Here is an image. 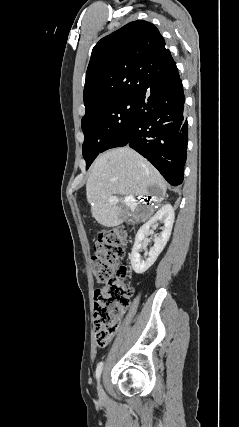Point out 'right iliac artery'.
<instances>
[{"instance_id": "right-iliac-artery-1", "label": "right iliac artery", "mask_w": 239, "mask_h": 427, "mask_svg": "<svg viewBox=\"0 0 239 427\" xmlns=\"http://www.w3.org/2000/svg\"><path fill=\"white\" fill-rule=\"evenodd\" d=\"M103 369V362H100L96 368V378L99 379Z\"/></svg>"}]
</instances>
